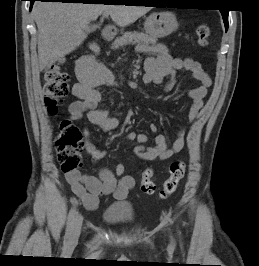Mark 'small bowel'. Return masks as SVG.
<instances>
[{"label":"small bowel","mask_w":259,"mask_h":266,"mask_svg":"<svg viewBox=\"0 0 259 266\" xmlns=\"http://www.w3.org/2000/svg\"><path fill=\"white\" fill-rule=\"evenodd\" d=\"M143 81L146 84H164V90L170 91L176 84V73L179 70H186L191 73L199 85L188 92L191 99V106L188 113L189 121H194L203 107V100L207 95L208 88L212 84L210 76L205 72L200 62L192 58H178L171 55L163 45H156L152 48L151 54L144 62ZM78 83L73 86V95L78 98L69 106V115L72 121H77L87 116L89 121L102 130L108 132L119 125V120L113 117L109 111L98 109L101 100L100 87L113 85L115 79L113 74L103 65L97 63L93 56H82L76 65ZM150 130L155 134L154 145L146 147L148 136L143 133L129 131L127 139L136 141L138 145L134 153L146 161L167 160L179 153L185 146V131L180 128L176 139L171 146H168L165 135L158 133L155 124H151ZM86 138L85 147L93 159L99 160L105 157L106 152L96 148L89 140V132L83 130ZM71 186L72 192L82 201L83 205L94 210L99 203V197L113 194L116 199H125L129 191L134 187V179L124 176L117 180L114 173L101 168L98 176L81 175L79 172L65 175Z\"/></svg>","instance_id":"1"}]
</instances>
